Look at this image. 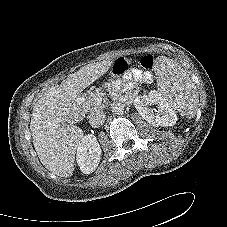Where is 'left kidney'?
I'll return each instance as SVG.
<instances>
[{
  "label": "left kidney",
  "instance_id": "obj_1",
  "mask_svg": "<svg viewBox=\"0 0 227 227\" xmlns=\"http://www.w3.org/2000/svg\"><path fill=\"white\" fill-rule=\"evenodd\" d=\"M155 105L156 108L149 106ZM134 106L141 115L152 126H172L177 121V116L170 103L157 91H150L148 95H140L134 99Z\"/></svg>",
  "mask_w": 227,
  "mask_h": 227
}]
</instances>
